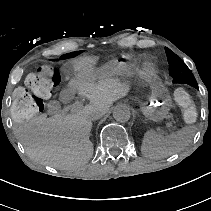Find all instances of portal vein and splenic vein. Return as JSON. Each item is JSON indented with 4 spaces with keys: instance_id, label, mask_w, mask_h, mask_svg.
<instances>
[{
    "instance_id": "1",
    "label": "portal vein and splenic vein",
    "mask_w": 211,
    "mask_h": 211,
    "mask_svg": "<svg viewBox=\"0 0 211 211\" xmlns=\"http://www.w3.org/2000/svg\"><path fill=\"white\" fill-rule=\"evenodd\" d=\"M166 126H167V127H171V128H174V127L176 128V127H177L175 124L172 125V123H167Z\"/></svg>"
}]
</instances>
